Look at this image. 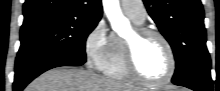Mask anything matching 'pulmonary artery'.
Here are the masks:
<instances>
[{
  "label": "pulmonary artery",
  "instance_id": "pulmonary-artery-1",
  "mask_svg": "<svg viewBox=\"0 0 220 91\" xmlns=\"http://www.w3.org/2000/svg\"><path fill=\"white\" fill-rule=\"evenodd\" d=\"M122 10L137 23H143L146 20V9L140 0H123Z\"/></svg>",
  "mask_w": 220,
  "mask_h": 91
}]
</instances>
